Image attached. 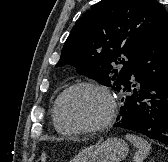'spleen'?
Instances as JSON below:
<instances>
[{"label": "spleen", "mask_w": 168, "mask_h": 162, "mask_svg": "<svg viewBox=\"0 0 168 162\" xmlns=\"http://www.w3.org/2000/svg\"><path fill=\"white\" fill-rule=\"evenodd\" d=\"M126 139L138 149L135 152L133 161L143 162L151 150V145L145 139L132 134H127Z\"/></svg>", "instance_id": "1"}]
</instances>
